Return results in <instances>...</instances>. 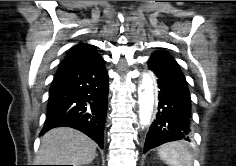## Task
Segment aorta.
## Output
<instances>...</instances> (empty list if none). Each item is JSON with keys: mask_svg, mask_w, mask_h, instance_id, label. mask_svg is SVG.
Listing matches in <instances>:
<instances>
[{"mask_svg": "<svg viewBox=\"0 0 236 166\" xmlns=\"http://www.w3.org/2000/svg\"><path fill=\"white\" fill-rule=\"evenodd\" d=\"M139 119L141 125H148L154 106V86L149 74H143L138 88Z\"/></svg>", "mask_w": 236, "mask_h": 166, "instance_id": "1", "label": "aorta"}]
</instances>
